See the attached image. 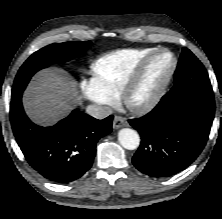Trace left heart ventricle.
<instances>
[{"label": "left heart ventricle", "instance_id": "1", "mask_svg": "<svg viewBox=\"0 0 222 219\" xmlns=\"http://www.w3.org/2000/svg\"><path fill=\"white\" fill-rule=\"evenodd\" d=\"M170 65L171 56L167 53L157 56L152 61L143 83L135 94V99L137 101L146 99L159 87Z\"/></svg>", "mask_w": 222, "mask_h": 219}]
</instances>
